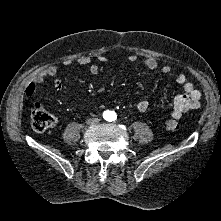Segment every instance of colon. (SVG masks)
Instances as JSON below:
<instances>
[{
    "label": "colon",
    "instance_id": "1",
    "mask_svg": "<svg viewBox=\"0 0 221 221\" xmlns=\"http://www.w3.org/2000/svg\"><path fill=\"white\" fill-rule=\"evenodd\" d=\"M179 117L174 116L165 121L164 127L168 131H176L179 129ZM56 123V118L47 113L41 106H36L32 112V127L37 132H43L51 128Z\"/></svg>",
    "mask_w": 221,
    "mask_h": 221
}]
</instances>
